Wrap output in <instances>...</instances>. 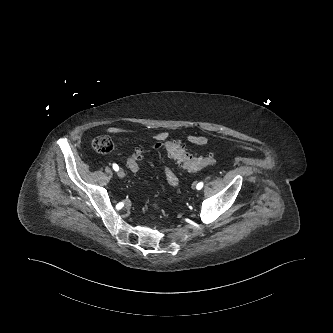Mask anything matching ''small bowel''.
<instances>
[{
    "label": "small bowel",
    "mask_w": 333,
    "mask_h": 333,
    "mask_svg": "<svg viewBox=\"0 0 333 333\" xmlns=\"http://www.w3.org/2000/svg\"><path fill=\"white\" fill-rule=\"evenodd\" d=\"M107 131L113 135L117 136H134L139 134L138 130L126 129L118 126H110ZM169 139V134L166 131H160L154 135V140L156 143H165ZM188 143L193 145H205L209 142V137L206 135L199 134H189L186 137Z\"/></svg>",
    "instance_id": "c3829d8e"
}]
</instances>
